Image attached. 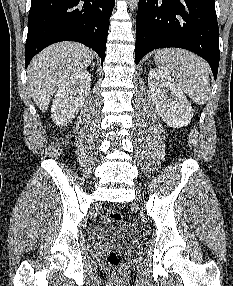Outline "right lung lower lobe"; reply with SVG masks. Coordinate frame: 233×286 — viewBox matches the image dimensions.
<instances>
[{
  "label": "right lung lower lobe",
  "instance_id": "1",
  "mask_svg": "<svg viewBox=\"0 0 233 286\" xmlns=\"http://www.w3.org/2000/svg\"><path fill=\"white\" fill-rule=\"evenodd\" d=\"M114 0H32L25 45V67L45 47L77 41L105 58Z\"/></svg>",
  "mask_w": 233,
  "mask_h": 286
}]
</instances>
